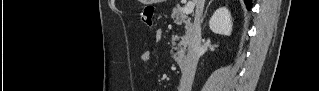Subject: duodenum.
I'll return each mask as SVG.
<instances>
[{
    "label": "duodenum",
    "instance_id": "obj_1",
    "mask_svg": "<svg viewBox=\"0 0 319 91\" xmlns=\"http://www.w3.org/2000/svg\"><path fill=\"white\" fill-rule=\"evenodd\" d=\"M174 60L178 66L183 69L186 66V56L184 54H175Z\"/></svg>",
    "mask_w": 319,
    "mask_h": 91
}]
</instances>
